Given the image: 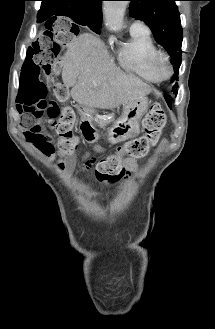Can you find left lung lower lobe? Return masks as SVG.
<instances>
[{
    "label": "left lung lower lobe",
    "instance_id": "obj_1",
    "mask_svg": "<svg viewBox=\"0 0 215 329\" xmlns=\"http://www.w3.org/2000/svg\"><path fill=\"white\" fill-rule=\"evenodd\" d=\"M164 98L166 99L168 106L171 108V97L169 95H164Z\"/></svg>",
    "mask_w": 215,
    "mask_h": 329
}]
</instances>
